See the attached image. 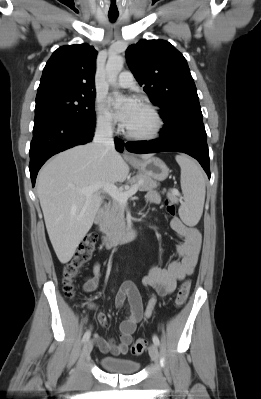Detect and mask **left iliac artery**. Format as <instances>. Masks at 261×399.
<instances>
[{
  "instance_id": "obj_1",
  "label": "left iliac artery",
  "mask_w": 261,
  "mask_h": 399,
  "mask_svg": "<svg viewBox=\"0 0 261 399\" xmlns=\"http://www.w3.org/2000/svg\"><path fill=\"white\" fill-rule=\"evenodd\" d=\"M152 340H153V343H154L156 346H159L160 341H159V338H158L157 335H153Z\"/></svg>"
}]
</instances>
